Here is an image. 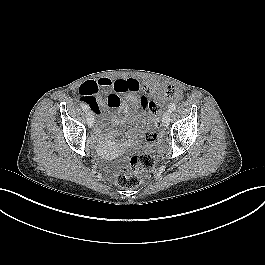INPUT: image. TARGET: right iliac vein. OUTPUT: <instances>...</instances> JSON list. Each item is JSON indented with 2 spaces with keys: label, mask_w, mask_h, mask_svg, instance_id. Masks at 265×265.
Masks as SVG:
<instances>
[{
  "label": "right iliac vein",
  "mask_w": 265,
  "mask_h": 265,
  "mask_svg": "<svg viewBox=\"0 0 265 265\" xmlns=\"http://www.w3.org/2000/svg\"><path fill=\"white\" fill-rule=\"evenodd\" d=\"M86 119H87L88 126L91 128L94 123V116L91 111L87 112Z\"/></svg>",
  "instance_id": "right-iliac-vein-1"
}]
</instances>
